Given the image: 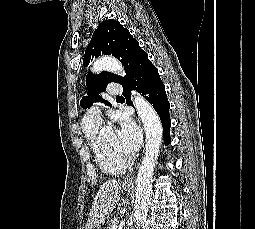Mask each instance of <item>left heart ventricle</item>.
Listing matches in <instances>:
<instances>
[{
    "instance_id": "left-heart-ventricle-1",
    "label": "left heart ventricle",
    "mask_w": 255,
    "mask_h": 229,
    "mask_svg": "<svg viewBox=\"0 0 255 229\" xmlns=\"http://www.w3.org/2000/svg\"><path fill=\"white\" fill-rule=\"evenodd\" d=\"M105 143H106V145H107L108 147H110L112 150H115V151H117V152H119V153H121V154L127 156L126 153L121 149L120 144H119V140H118V137H117V136L111 137V138H110L108 141H106Z\"/></svg>"
}]
</instances>
